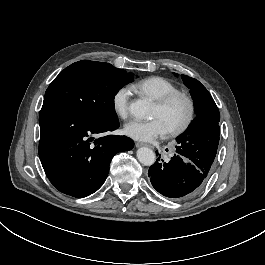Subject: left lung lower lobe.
I'll return each mask as SVG.
<instances>
[{"label": "left lung lower lobe", "instance_id": "left-lung-lower-lobe-1", "mask_svg": "<svg viewBox=\"0 0 265 265\" xmlns=\"http://www.w3.org/2000/svg\"><path fill=\"white\" fill-rule=\"evenodd\" d=\"M148 171L154 189L162 195L187 200L194 196L208 179L211 167L201 162L174 155L168 163H160V158Z\"/></svg>", "mask_w": 265, "mask_h": 265}]
</instances>
